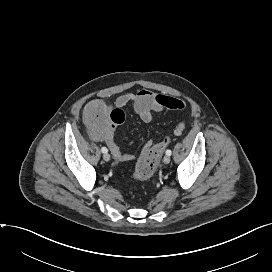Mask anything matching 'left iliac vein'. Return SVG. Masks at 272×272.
Masks as SVG:
<instances>
[{
  "label": "left iliac vein",
  "mask_w": 272,
  "mask_h": 272,
  "mask_svg": "<svg viewBox=\"0 0 272 272\" xmlns=\"http://www.w3.org/2000/svg\"><path fill=\"white\" fill-rule=\"evenodd\" d=\"M170 156H168V155H165L164 156V158H163V162L165 163V164H169L170 163Z\"/></svg>",
  "instance_id": "left-iliac-vein-1"
}]
</instances>
